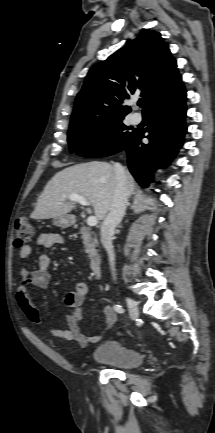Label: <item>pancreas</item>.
<instances>
[{
	"instance_id": "pancreas-1",
	"label": "pancreas",
	"mask_w": 215,
	"mask_h": 433,
	"mask_svg": "<svg viewBox=\"0 0 215 433\" xmlns=\"http://www.w3.org/2000/svg\"><path fill=\"white\" fill-rule=\"evenodd\" d=\"M80 233L82 234L81 238L83 240L85 252L87 253L88 257H95L97 255V240L92 236L90 228L82 226L80 229Z\"/></svg>"
}]
</instances>
